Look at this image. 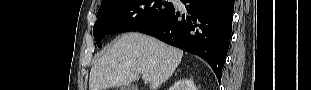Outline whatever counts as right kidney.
Returning a JSON list of instances; mask_svg holds the SVG:
<instances>
[{
	"mask_svg": "<svg viewBox=\"0 0 311 90\" xmlns=\"http://www.w3.org/2000/svg\"><path fill=\"white\" fill-rule=\"evenodd\" d=\"M178 90H196L193 80H181L176 84Z\"/></svg>",
	"mask_w": 311,
	"mask_h": 90,
	"instance_id": "obj_1",
	"label": "right kidney"
}]
</instances>
